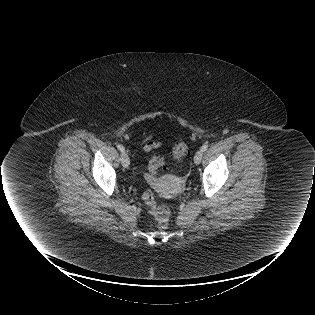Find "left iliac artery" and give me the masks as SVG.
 <instances>
[{
	"instance_id": "obj_1",
	"label": "left iliac artery",
	"mask_w": 315,
	"mask_h": 315,
	"mask_svg": "<svg viewBox=\"0 0 315 315\" xmlns=\"http://www.w3.org/2000/svg\"><path fill=\"white\" fill-rule=\"evenodd\" d=\"M208 149V144H204L202 147H201V151L204 152Z\"/></svg>"
}]
</instances>
